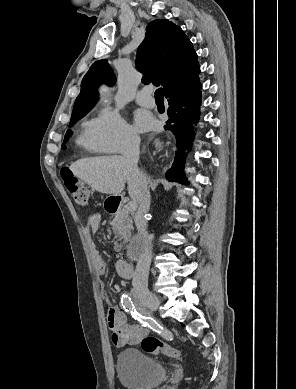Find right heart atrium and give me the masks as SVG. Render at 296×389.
Masks as SVG:
<instances>
[{
	"instance_id": "d8ad5b80",
	"label": "right heart atrium",
	"mask_w": 296,
	"mask_h": 389,
	"mask_svg": "<svg viewBox=\"0 0 296 389\" xmlns=\"http://www.w3.org/2000/svg\"><path fill=\"white\" fill-rule=\"evenodd\" d=\"M94 121L95 136L101 151L119 153L137 145V133L118 109L105 105Z\"/></svg>"
}]
</instances>
